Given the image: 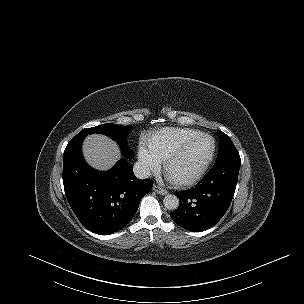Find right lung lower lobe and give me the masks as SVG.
<instances>
[{
    "mask_svg": "<svg viewBox=\"0 0 304 304\" xmlns=\"http://www.w3.org/2000/svg\"><path fill=\"white\" fill-rule=\"evenodd\" d=\"M84 138L73 137L64 151L65 194L85 228L99 235L112 234L132 219L153 183L136 178L131 163L125 159L108 171L89 167L82 156Z\"/></svg>",
    "mask_w": 304,
    "mask_h": 304,
    "instance_id": "98d812e1",
    "label": "right lung lower lobe"
}]
</instances>
